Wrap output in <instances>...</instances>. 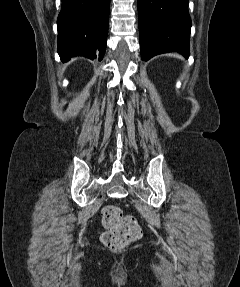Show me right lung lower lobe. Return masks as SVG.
Here are the masks:
<instances>
[{
  "mask_svg": "<svg viewBox=\"0 0 240 287\" xmlns=\"http://www.w3.org/2000/svg\"><path fill=\"white\" fill-rule=\"evenodd\" d=\"M110 0H62L58 53L63 62L82 55L102 59L107 42Z\"/></svg>",
  "mask_w": 240,
  "mask_h": 287,
  "instance_id": "obj_1",
  "label": "right lung lower lobe"
}]
</instances>
